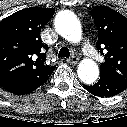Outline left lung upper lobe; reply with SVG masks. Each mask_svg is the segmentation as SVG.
Segmentation results:
<instances>
[{
	"label": "left lung upper lobe",
	"instance_id": "5c2ea615",
	"mask_svg": "<svg viewBox=\"0 0 127 127\" xmlns=\"http://www.w3.org/2000/svg\"><path fill=\"white\" fill-rule=\"evenodd\" d=\"M92 16L98 30L96 47L105 59L101 75L127 84V18L107 6L94 7Z\"/></svg>",
	"mask_w": 127,
	"mask_h": 127
}]
</instances>
